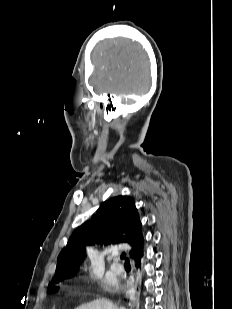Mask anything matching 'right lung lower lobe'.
I'll list each match as a JSON object with an SVG mask.
<instances>
[{"instance_id":"1","label":"right lung lower lobe","mask_w":232,"mask_h":309,"mask_svg":"<svg viewBox=\"0 0 232 309\" xmlns=\"http://www.w3.org/2000/svg\"><path fill=\"white\" fill-rule=\"evenodd\" d=\"M143 256V255H142ZM142 256H140L137 260H135L136 261V267L137 268H140L141 267V257Z\"/></svg>"}]
</instances>
